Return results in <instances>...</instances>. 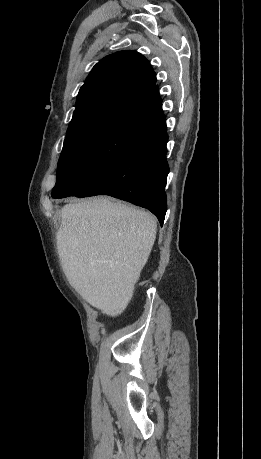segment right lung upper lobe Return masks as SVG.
I'll return each mask as SVG.
<instances>
[{"instance_id": "cb5924a9", "label": "right lung upper lobe", "mask_w": 261, "mask_h": 459, "mask_svg": "<svg viewBox=\"0 0 261 459\" xmlns=\"http://www.w3.org/2000/svg\"><path fill=\"white\" fill-rule=\"evenodd\" d=\"M165 120L156 74L135 51H121L97 63L77 96L66 139L117 123L155 127Z\"/></svg>"}]
</instances>
